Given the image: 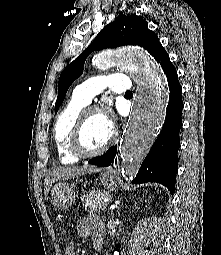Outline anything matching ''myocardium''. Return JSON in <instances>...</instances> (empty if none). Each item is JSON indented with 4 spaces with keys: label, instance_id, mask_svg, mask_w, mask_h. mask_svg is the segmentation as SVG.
I'll list each match as a JSON object with an SVG mask.
<instances>
[{
    "label": "myocardium",
    "instance_id": "1",
    "mask_svg": "<svg viewBox=\"0 0 221 255\" xmlns=\"http://www.w3.org/2000/svg\"><path fill=\"white\" fill-rule=\"evenodd\" d=\"M92 114H98L105 116L104 113L98 109V108H88L81 112V115L79 116L77 122L74 125V128L71 133V140H70V147L72 152L78 156L79 158H91L95 156H99L106 152L109 147L112 145L116 138V130L113 124L110 122V134L106 142L98 149L96 150H87L84 148L83 145V128L85 126V123L88 119V117Z\"/></svg>",
    "mask_w": 221,
    "mask_h": 255
}]
</instances>
